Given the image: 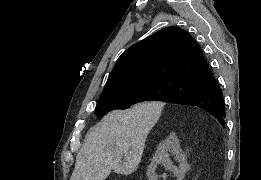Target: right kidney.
I'll use <instances>...</instances> for the list:
<instances>
[{"instance_id":"1","label":"right kidney","mask_w":261,"mask_h":180,"mask_svg":"<svg viewBox=\"0 0 261 180\" xmlns=\"http://www.w3.org/2000/svg\"><path fill=\"white\" fill-rule=\"evenodd\" d=\"M168 152L175 154L176 160H179V168H174V166H171V170H173L178 180H183L186 172L189 170V166L187 164L186 154L183 152V150H181L179 140L175 134H170V136H168L164 142L159 144L157 152L155 156H153V160L147 170L148 178L155 176L157 164H161V162H165V166L172 164Z\"/></svg>"}]
</instances>
